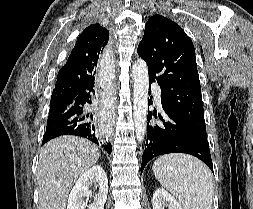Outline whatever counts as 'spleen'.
Listing matches in <instances>:
<instances>
[{
    "instance_id": "spleen-1",
    "label": "spleen",
    "mask_w": 253,
    "mask_h": 209,
    "mask_svg": "<svg viewBox=\"0 0 253 209\" xmlns=\"http://www.w3.org/2000/svg\"><path fill=\"white\" fill-rule=\"evenodd\" d=\"M152 170L183 209H212V173L200 160L185 154H168L156 159Z\"/></svg>"
}]
</instances>
